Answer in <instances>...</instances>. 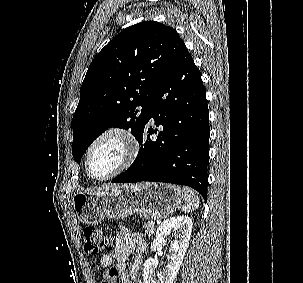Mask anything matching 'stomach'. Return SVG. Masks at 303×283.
<instances>
[{
	"label": "stomach",
	"instance_id": "stomach-1",
	"mask_svg": "<svg viewBox=\"0 0 303 283\" xmlns=\"http://www.w3.org/2000/svg\"><path fill=\"white\" fill-rule=\"evenodd\" d=\"M183 198L177 186L141 183L79 192L73 196L72 205L81 222L98 224L105 218L123 219L134 213L146 219L166 218L180 207Z\"/></svg>",
	"mask_w": 303,
	"mask_h": 283
}]
</instances>
